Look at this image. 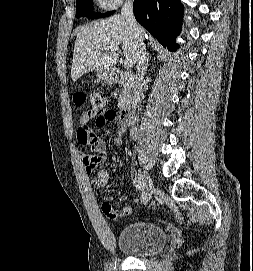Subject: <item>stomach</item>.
Returning a JSON list of instances; mask_svg holds the SVG:
<instances>
[{"label": "stomach", "mask_w": 253, "mask_h": 271, "mask_svg": "<svg viewBox=\"0 0 253 271\" xmlns=\"http://www.w3.org/2000/svg\"><path fill=\"white\" fill-rule=\"evenodd\" d=\"M97 75L104 83L112 84L114 82L113 73L110 71H98Z\"/></svg>", "instance_id": "0dacf381"}]
</instances>
